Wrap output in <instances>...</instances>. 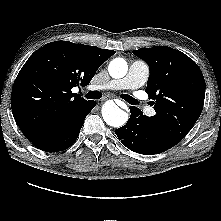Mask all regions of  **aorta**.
Returning <instances> with one entry per match:
<instances>
[{
    "instance_id": "1",
    "label": "aorta",
    "mask_w": 221,
    "mask_h": 221,
    "mask_svg": "<svg viewBox=\"0 0 221 221\" xmlns=\"http://www.w3.org/2000/svg\"><path fill=\"white\" fill-rule=\"evenodd\" d=\"M128 71L127 62L123 58L113 59L109 66L108 72L112 78H123ZM102 117L106 124L113 127H121L128 120V114L120 109L113 101H107L102 107Z\"/></svg>"
}]
</instances>
